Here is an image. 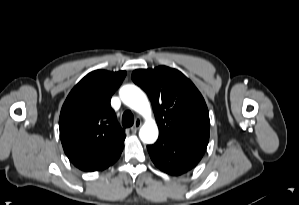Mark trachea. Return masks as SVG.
Returning <instances> with one entry per match:
<instances>
[{"instance_id": "trachea-1", "label": "trachea", "mask_w": 299, "mask_h": 205, "mask_svg": "<svg viewBox=\"0 0 299 205\" xmlns=\"http://www.w3.org/2000/svg\"><path fill=\"white\" fill-rule=\"evenodd\" d=\"M134 124V116L131 111H125L122 115V125L124 127H131Z\"/></svg>"}]
</instances>
